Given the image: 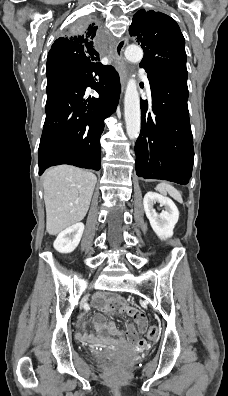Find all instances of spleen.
Returning a JSON list of instances; mask_svg holds the SVG:
<instances>
[{
    "label": "spleen",
    "instance_id": "obj_1",
    "mask_svg": "<svg viewBox=\"0 0 228 396\" xmlns=\"http://www.w3.org/2000/svg\"><path fill=\"white\" fill-rule=\"evenodd\" d=\"M156 190L160 192L163 195H167V193L176 201L182 203L183 199L180 194V192L174 188L173 186L166 184V183H160L156 186Z\"/></svg>",
    "mask_w": 228,
    "mask_h": 396
}]
</instances>
